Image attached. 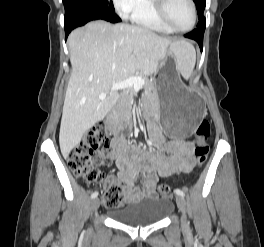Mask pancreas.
<instances>
[{
	"label": "pancreas",
	"mask_w": 264,
	"mask_h": 247,
	"mask_svg": "<svg viewBox=\"0 0 264 247\" xmlns=\"http://www.w3.org/2000/svg\"><path fill=\"white\" fill-rule=\"evenodd\" d=\"M139 76L145 79V84L143 85L145 93L153 102H155L157 98V90L155 83L147 80V78L143 74H140ZM132 93L133 88L130 87L126 91H124L119 97V100L114 110V116L118 122H126L132 116Z\"/></svg>",
	"instance_id": "cf45deb5"
}]
</instances>
